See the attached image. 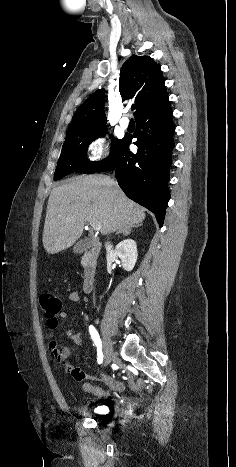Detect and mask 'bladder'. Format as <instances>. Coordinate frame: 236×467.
<instances>
[{
	"mask_svg": "<svg viewBox=\"0 0 236 467\" xmlns=\"http://www.w3.org/2000/svg\"><path fill=\"white\" fill-rule=\"evenodd\" d=\"M107 405L97 406L91 409L92 412H102L107 410Z\"/></svg>",
	"mask_w": 236,
	"mask_h": 467,
	"instance_id": "1",
	"label": "bladder"
}]
</instances>
